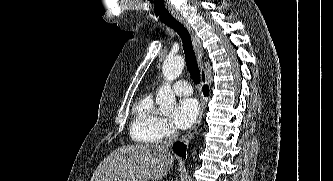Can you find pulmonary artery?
I'll list each match as a JSON object with an SVG mask.
<instances>
[{"instance_id": "e3ab8cb5", "label": "pulmonary artery", "mask_w": 333, "mask_h": 181, "mask_svg": "<svg viewBox=\"0 0 333 181\" xmlns=\"http://www.w3.org/2000/svg\"><path fill=\"white\" fill-rule=\"evenodd\" d=\"M173 91L179 96H189L193 93L192 87L186 81H178L173 86Z\"/></svg>"}]
</instances>
